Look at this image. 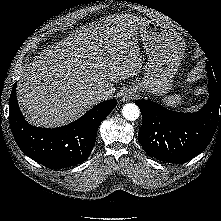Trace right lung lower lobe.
Segmentation results:
<instances>
[{
  "instance_id": "right-lung-lower-lobe-1",
  "label": "right lung lower lobe",
  "mask_w": 221,
  "mask_h": 221,
  "mask_svg": "<svg viewBox=\"0 0 221 221\" xmlns=\"http://www.w3.org/2000/svg\"><path fill=\"white\" fill-rule=\"evenodd\" d=\"M16 85L9 100V123L13 136L25 155L50 169L70 167L85 161L94 147L100 123L117 105L114 99L102 102L63 127H34L22 116Z\"/></svg>"
}]
</instances>
